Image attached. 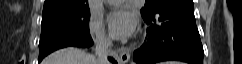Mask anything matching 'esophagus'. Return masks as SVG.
I'll return each mask as SVG.
<instances>
[{
	"label": "esophagus",
	"instance_id": "34e87169",
	"mask_svg": "<svg viewBox=\"0 0 242 64\" xmlns=\"http://www.w3.org/2000/svg\"><path fill=\"white\" fill-rule=\"evenodd\" d=\"M119 54H120V56H119L120 63L125 64V63H127L129 61V59H130V52H129L128 49L122 48L119 51Z\"/></svg>",
	"mask_w": 242,
	"mask_h": 64
}]
</instances>
